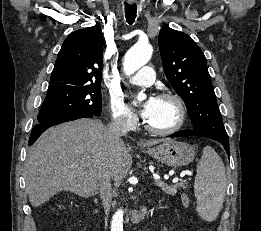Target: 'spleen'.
Wrapping results in <instances>:
<instances>
[{
  "instance_id": "1",
  "label": "spleen",
  "mask_w": 261,
  "mask_h": 231,
  "mask_svg": "<svg viewBox=\"0 0 261 231\" xmlns=\"http://www.w3.org/2000/svg\"><path fill=\"white\" fill-rule=\"evenodd\" d=\"M226 188L227 179L222 159L212 147H204L194 184L197 212L203 220L211 222L217 218Z\"/></svg>"
}]
</instances>
